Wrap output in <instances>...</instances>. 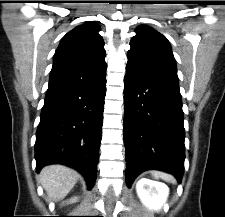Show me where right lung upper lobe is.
Masks as SVG:
<instances>
[{"label":"right lung upper lobe","instance_id":"right-lung-upper-lobe-1","mask_svg":"<svg viewBox=\"0 0 225 217\" xmlns=\"http://www.w3.org/2000/svg\"><path fill=\"white\" fill-rule=\"evenodd\" d=\"M98 31V24L88 22L62 38L54 54L47 93L93 84L105 78L104 41Z\"/></svg>","mask_w":225,"mask_h":217}]
</instances>
